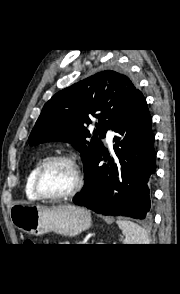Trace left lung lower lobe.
Wrapping results in <instances>:
<instances>
[{"mask_svg": "<svg viewBox=\"0 0 180 294\" xmlns=\"http://www.w3.org/2000/svg\"><path fill=\"white\" fill-rule=\"evenodd\" d=\"M152 118L146 99L138 91L124 113L113 123L114 151L103 145L85 175L75 204L97 213L144 219L151 207L147 182L156 170ZM106 163L99 165L100 161Z\"/></svg>", "mask_w": 180, "mask_h": 294, "instance_id": "0a47b994", "label": "left lung lower lobe"}]
</instances>
